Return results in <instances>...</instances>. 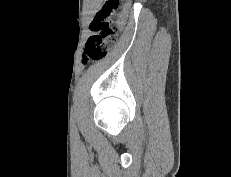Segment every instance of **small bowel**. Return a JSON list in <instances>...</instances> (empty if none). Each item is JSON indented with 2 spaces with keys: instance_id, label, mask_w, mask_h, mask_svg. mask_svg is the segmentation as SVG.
I'll list each match as a JSON object with an SVG mask.
<instances>
[{
  "instance_id": "obj_1",
  "label": "small bowel",
  "mask_w": 231,
  "mask_h": 177,
  "mask_svg": "<svg viewBox=\"0 0 231 177\" xmlns=\"http://www.w3.org/2000/svg\"><path fill=\"white\" fill-rule=\"evenodd\" d=\"M120 24H123V19L120 21Z\"/></svg>"
}]
</instances>
